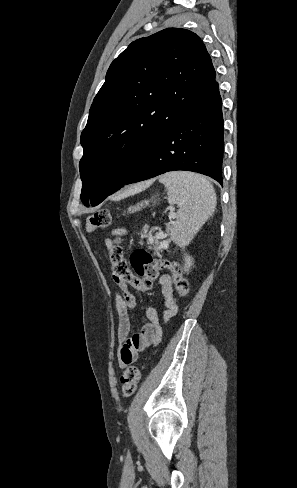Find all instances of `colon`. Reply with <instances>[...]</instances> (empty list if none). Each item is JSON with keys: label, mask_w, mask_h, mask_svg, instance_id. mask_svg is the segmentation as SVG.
<instances>
[{"label": "colon", "mask_w": 297, "mask_h": 488, "mask_svg": "<svg viewBox=\"0 0 297 488\" xmlns=\"http://www.w3.org/2000/svg\"><path fill=\"white\" fill-rule=\"evenodd\" d=\"M112 223L109 210L101 209L88 219L90 230L108 227ZM112 265V275L127 283H134L149 289L160 273L167 270L174 279L175 289L179 296H185L189 291V283L182 273L181 266L170 259L155 257L144 249H136L127 259L118 241H115L109 253ZM131 267V269H130ZM143 365H130L120 377L121 393L124 397H130L136 391Z\"/></svg>", "instance_id": "colon-1"}]
</instances>
